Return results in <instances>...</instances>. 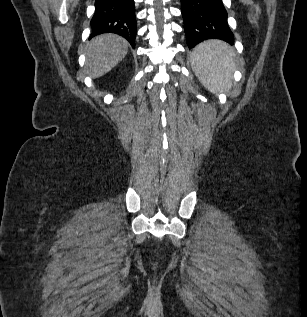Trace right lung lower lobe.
Returning a JSON list of instances; mask_svg holds the SVG:
<instances>
[{
	"label": "right lung lower lobe",
	"instance_id": "1",
	"mask_svg": "<svg viewBox=\"0 0 307 317\" xmlns=\"http://www.w3.org/2000/svg\"><path fill=\"white\" fill-rule=\"evenodd\" d=\"M90 38L102 33H115L135 47L136 19L134 0H95Z\"/></svg>",
	"mask_w": 307,
	"mask_h": 317
}]
</instances>
